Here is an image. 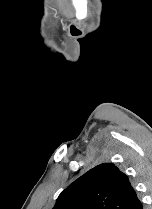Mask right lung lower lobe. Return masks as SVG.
<instances>
[{
	"label": "right lung lower lobe",
	"mask_w": 152,
	"mask_h": 209,
	"mask_svg": "<svg viewBox=\"0 0 152 209\" xmlns=\"http://www.w3.org/2000/svg\"><path fill=\"white\" fill-rule=\"evenodd\" d=\"M128 209H143V205L141 201L136 197V199L133 201L131 206Z\"/></svg>",
	"instance_id": "1"
}]
</instances>
